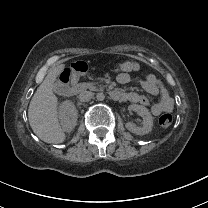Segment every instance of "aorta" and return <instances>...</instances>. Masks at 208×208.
<instances>
[{"label": "aorta", "mask_w": 208, "mask_h": 208, "mask_svg": "<svg viewBox=\"0 0 208 208\" xmlns=\"http://www.w3.org/2000/svg\"><path fill=\"white\" fill-rule=\"evenodd\" d=\"M96 99H97L98 102L103 103V102L106 101L107 96H106L105 93L100 92V93L97 94Z\"/></svg>", "instance_id": "1"}]
</instances>
